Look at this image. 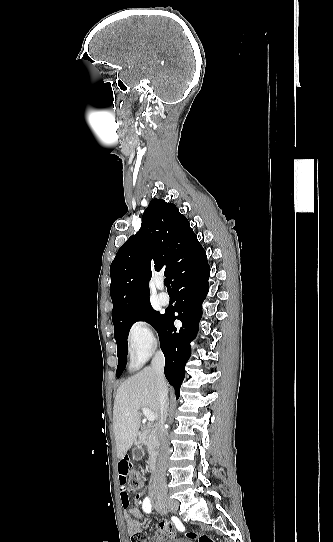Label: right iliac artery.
<instances>
[{"label":"right iliac artery","mask_w":333,"mask_h":542,"mask_svg":"<svg viewBox=\"0 0 333 542\" xmlns=\"http://www.w3.org/2000/svg\"><path fill=\"white\" fill-rule=\"evenodd\" d=\"M143 510L146 512V513H150L151 512V504H150V500L148 497H146L143 501Z\"/></svg>","instance_id":"obj_1"}]
</instances>
